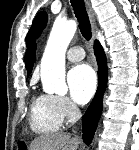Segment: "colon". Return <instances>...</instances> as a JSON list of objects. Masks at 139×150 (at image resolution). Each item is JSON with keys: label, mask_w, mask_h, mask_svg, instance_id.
Wrapping results in <instances>:
<instances>
[{"label": "colon", "mask_w": 139, "mask_h": 150, "mask_svg": "<svg viewBox=\"0 0 139 150\" xmlns=\"http://www.w3.org/2000/svg\"><path fill=\"white\" fill-rule=\"evenodd\" d=\"M17 150H26V145L23 143H20L17 147Z\"/></svg>", "instance_id": "5ec220e1"}]
</instances>
